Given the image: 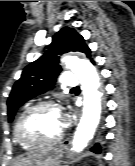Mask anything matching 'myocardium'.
Wrapping results in <instances>:
<instances>
[{
  "label": "myocardium",
  "mask_w": 135,
  "mask_h": 166,
  "mask_svg": "<svg viewBox=\"0 0 135 166\" xmlns=\"http://www.w3.org/2000/svg\"><path fill=\"white\" fill-rule=\"evenodd\" d=\"M42 109H54L61 113V106L53 101H44L34 104L28 108H26L17 118L16 123L14 125V133L17 141L26 147L29 148H38V147H45V146H53L58 144L64 137V130L54 139L46 140V141H35L25 138L21 133V125L24 119L31 113L42 110Z\"/></svg>",
  "instance_id": "obj_1"
}]
</instances>
